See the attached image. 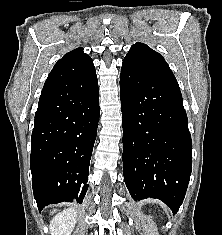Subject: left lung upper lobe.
<instances>
[{
    "label": "left lung upper lobe",
    "mask_w": 222,
    "mask_h": 235,
    "mask_svg": "<svg viewBox=\"0 0 222 235\" xmlns=\"http://www.w3.org/2000/svg\"><path fill=\"white\" fill-rule=\"evenodd\" d=\"M123 61L132 62L138 66L176 80L163 56L152 50L146 44L136 43L132 45Z\"/></svg>",
    "instance_id": "left-lung-upper-lobe-1"
}]
</instances>
